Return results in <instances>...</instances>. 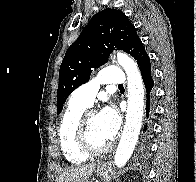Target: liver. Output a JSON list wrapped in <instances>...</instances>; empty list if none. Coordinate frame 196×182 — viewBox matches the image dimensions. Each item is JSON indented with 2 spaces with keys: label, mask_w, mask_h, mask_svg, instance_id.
Listing matches in <instances>:
<instances>
[{
  "label": "liver",
  "mask_w": 196,
  "mask_h": 182,
  "mask_svg": "<svg viewBox=\"0 0 196 182\" xmlns=\"http://www.w3.org/2000/svg\"><path fill=\"white\" fill-rule=\"evenodd\" d=\"M96 167L95 163L65 169L56 182H88Z\"/></svg>",
  "instance_id": "6515ba94"
}]
</instances>
